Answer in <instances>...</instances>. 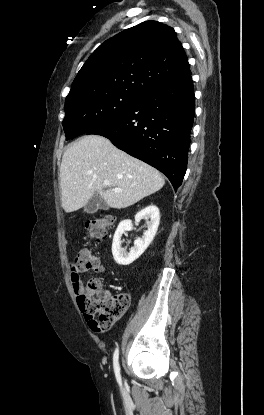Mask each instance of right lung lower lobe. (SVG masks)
<instances>
[{
	"mask_svg": "<svg viewBox=\"0 0 264 415\" xmlns=\"http://www.w3.org/2000/svg\"><path fill=\"white\" fill-rule=\"evenodd\" d=\"M195 102L191 75L153 89L121 116L87 132L164 173L175 190L187 169Z\"/></svg>",
	"mask_w": 264,
	"mask_h": 415,
	"instance_id": "right-lung-lower-lobe-1",
	"label": "right lung lower lobe"
}]
</instances>
